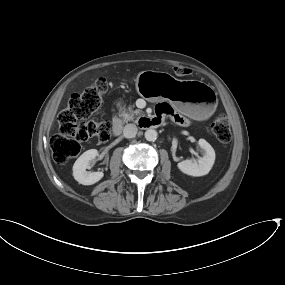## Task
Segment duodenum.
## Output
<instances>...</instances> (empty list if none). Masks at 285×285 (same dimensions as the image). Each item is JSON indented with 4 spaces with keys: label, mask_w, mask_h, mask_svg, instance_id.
I'll list each match as a JSON object with an SVG mask.
<instances>
[{
    "label": "duodenum",
    "mask_w": 285,
    "mask_h": 285,
    "mask_svg": "<svg viewBox=\"0 0 285 285\" xmlns=\"http://www.w3.org/2000/svg\"><path fill=\"white\" fill-rule=\"evenodd\" d=\"M144 120L146 121L148 126H152L153 127V126H157L158 125V122L156 121L155 118H144ZM122 127H123V124L120 121V119L115 117L113 119V123H112L113 133L116 134V135L121 134Z\"/></svg>",
    "instance_id": "duodenum-1"
}]
</instances>
